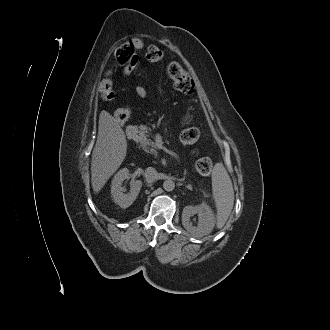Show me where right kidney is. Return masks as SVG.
I'll return each mask as SVG.
<instances>
[{
  "instance_id": "1",
  "label": "right kidney",
  "mask_w": 330,
  "mask_h": 330,
  "mask_svg": "<svg viewBox=\"0 0 330 330\" xmlns=\"http://www.w3.org/2000/svg\"><path fill=\"white\" fill-rule=\"evenodd\" d=\"M129 178V170L127 168H123L115 174L112 180L111 194L114 202L121 208L129 207L137 198L142 187V182L140 180H131L130 192L124 193L125 190L122 187V183L124 180Z\"/></svg>"
}]
</instances>
